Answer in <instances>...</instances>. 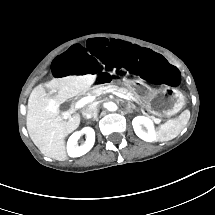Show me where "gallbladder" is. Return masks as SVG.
<instances>
[{"label": "gallbladder", "instance_id": "gallbladder-1", "mask_svg": "<svg viewBox=\"0 0 215 215\" xmlns=\"http://www.w3.org/2000/svg\"><path fill=\"white\" fill-rule=\"evenodd\" d=\"M45 91H46V92H48V91H49V89H48V88H45Z\"/></svg>", "mask_w": 215, "mask_h": 215}]
</instances>
